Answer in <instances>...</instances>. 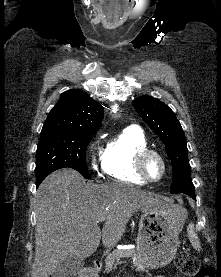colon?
I'll return each instance as SVG.
<instances>
[{
	"instance_id": "obj_1",
	"label": "colon",
	"mask_w": 221,
	"mask_h": 277,
	"mask_svg": "<svg viewBox=\"0 0 221 277\" xmlns=\"http://www.w3.org/2000/svg\"><path fill=\"white\" fill-rule=\"evenodd\" d=\"M175 266L180 273L191 277H215L214 270L200 267L197 257L187 252H179L175 257Z\"/></svg>"
}]
</instances>
